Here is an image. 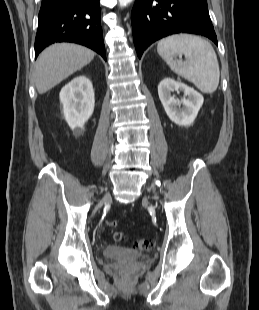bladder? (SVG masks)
<instances>
[{
    "mask_svg": "<svg viewBox=\"0 0 259 310\" xmlns=\"http://www.w3.org/2000/svg\"><path fill=\"white\" fill-rule=\"evenodd\" d=\"M103 257L108 260L134 261L143 258V254L120 246L109 245L103 249Z\"/></svg>",
    "mask_w": 259,
    "mask_h": 310,
    "instance_id": "1",
    "label": "bladder"
}]
</instances>
